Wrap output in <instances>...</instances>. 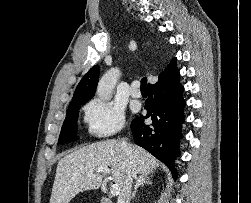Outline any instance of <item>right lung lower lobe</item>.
Here are the masks:
<instances>
[{
	"instance_id": "obj_1",
	"label": "right lung lower lobe",
	"mask_w": 251,
	"mask_h": 203,
	"mask_svg": "<svg viewBox=\"0 0 251 203\" xmlns=\"http://www.w3.org/2000/svg\"><path fill=\"white\" fill-rule=\"evenodd\" d=\"M176 64L155 84L148 86L145 102L147 114L135 118L131 123L134 141L165 163L176 178L175 158L179 156L182 124L185 121L183 99L184 87L180 84ZM151 118L146 125L144 120Z\"/></svg>"
}]
</instances>
